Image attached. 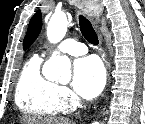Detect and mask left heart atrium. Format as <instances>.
Returning a JSON list of instances; mask_svg holds the SVG:
<instances>
[{
	"instance_id": "1",
	"label": "left heart atrium",
	"mask_w": 145,
	"mask_h": 124,
	"mask_svg": "<svg viewBox=\"0 0 145 124\" xmlns=\"http://www.w3.org/2000/svg\"><path fill=\"white\" fill-rule=\"evenodd\" d=\"M105 73L100 61L93 56L77 59L73 65V86L84 98H93L103 89Z\"/></svg>"
}]
</instances>
